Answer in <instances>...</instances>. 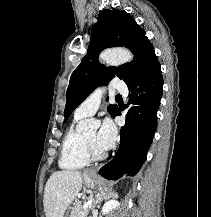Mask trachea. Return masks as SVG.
Returning a JSON list of instances; mask_svg holds the SVG:
<instances>
[{
    "mask_svg": "<svg viewBox=\"0 0 211 217\" xmlns=\"http://www.w3.org/2000/svg\"><path fill=\"white\" fill-rule=\"evenodd\" d=\"M116 97H117V98H120L121 96H120V95H117Z\"/></svg>",
    "mask_w": 211,
    "mask_h": 217,
    "instance_id": "3493384b",
    "label": "trachea"
}]
</instances>
